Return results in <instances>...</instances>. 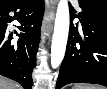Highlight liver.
Returning <instances> with one entry per match:
<instances>
[{
  "mask_svg": "<svg viewBox=\"0 0 107 89\" xmlns=\"http://www.w3.org/2000/svg\"><path fill=\"white\" fill-rule=\"evenodd\" d=\"M0 89H21L19 85L8 79L1 78Z\"/></svg>",
  "mask_w": 107,
  "mask_h": 89,
  "instance_id": "liver-1",
  "label": "liver"
}]
</instances>
